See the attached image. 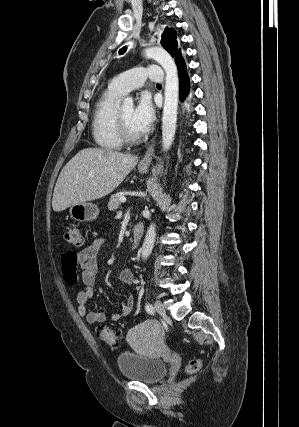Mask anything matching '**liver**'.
<instances>
[{"label":"liver","mask_w":299,"mask_h":427,"mask_svg":"<svg viewBox=\"0 0 299 427\" xmlns=\"http://www.w3.org/2000/svg\"><path fill=\"white\" fill-rule=\"evenodd\" d=\"M138 163V157L116 151L85 148L62 169L52 208L60 212L71 205L103 198L115 190Z\"/></svg>","instance_id":"1"}]
</instances>
